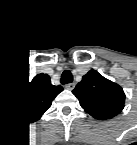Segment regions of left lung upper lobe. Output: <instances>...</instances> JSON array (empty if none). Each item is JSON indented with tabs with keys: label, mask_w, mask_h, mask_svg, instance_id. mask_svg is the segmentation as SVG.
<instances>
[{
	"label": "left lung upper lobe",
	"mask_w": 137,
	"mask_h": 145,
	"mask_svg": "<svg viewBox=\"0 0 137 145\" xmlns=\"http://www.w3.org/2000/svg\"><path fill=\"white\" fill-rule=\"evenodd\" d=\"M73 94L79 99L82 108L98 120L113 118L124 108L123 89L94 69L83 76Z\"/></svg>",
	"instance_id": "1"
}]
</instances>
